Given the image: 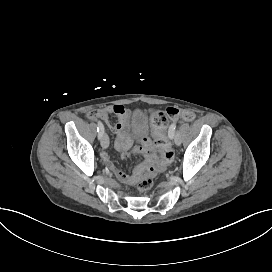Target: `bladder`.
I'll list each match as a JSON object with an SVG mask.
<instances>
[{"instance_id": "bladder-1", "label": "bladder", "mask_w": 272, "mask_h": 272, "mask_svg": "<svg viewBox=\"0 0 272 272\" xmlns=\"http://www.w3.org/2000/svg\"><path fill=\"white\" fill-rule=\"evenodd\" d=\"M132 122L136 133H142L148 125V117L145 112L140 109L134 110L132 113Z\"/></svg>"}]
</instances>
